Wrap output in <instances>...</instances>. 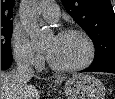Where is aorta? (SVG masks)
<instances>
[{
  "mask_svg": "<svg viewBox=\"0 0 115 99\" xmlns=\"http://www.w3.org/2000/svg\"><path fill=\"white\" fill-rule=\"evenodd\" d=\"M43 4V0L26 1L22 5L20 12L21 22L28 30L31 41L35 45L43 44L47 36L46 30L40 28L37 24V19Z\"/></svg>",
  "mask_w": 115,
  "mask_h": 99,
  "instance_id": "1",
  "label": "aorta"
}]
</instances>
